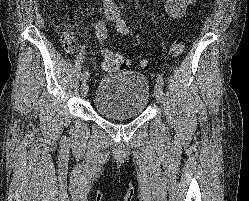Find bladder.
I'll return each mask as SVG.
<instances>
[{"instance_id":"1","label":"bladder","mask_w":249,"mask_h":201,"mask_svg":"<svg viewBox=\"0 0 249 201\" xmlns=\"http://www.w3.org/2000/svg\"><path fill=\"white\" fill-rule=\"evenodd\" d=\"M149 98V82L142 73L120 71L106 73L100 78L93 106L104 118L127 120L142 115Z\"/></svg>"}]
</instances>
